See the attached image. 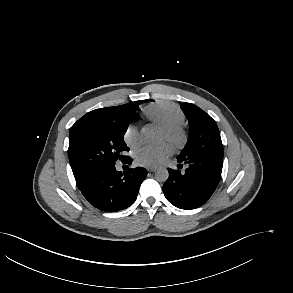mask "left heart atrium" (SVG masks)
Wrapping results in <instances>:
<instances>
[{"label":"left heart atrium","mask_w":293,"mask_h":293,"mask_svg":"<svg viewBox=\"0 0 293 293\" xmlns=\"http://www.w3.org/2000/svg\"><path fill=\"white\" fill-rule=\"evenodd\" d=\"M172 152V146L168 143L157 146H145L136 152L135 161L141 166L156 167L171 156Z\"/></svg>","instance_id":"obj_1"}]
</instances>
